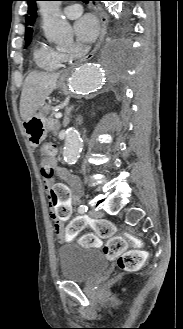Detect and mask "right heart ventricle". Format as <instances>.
<instances>
[{
    "label": "right heart ventricle",
    "mask_w": 183,
    "mask_h": 329,
    "mask_svg": "<svg viewBox=\"0 0 183 329\" xmlns=\"http://www.w3.org/2000/svg\"><path fill=\"white\" fill-rule=\"evenodd\" d=\"M66 59L64 53L47 44H40L33 53L35 65L47 71H53L59 68Z\"/></svg>",
    "instance_id": "1"
}]
</instances>
